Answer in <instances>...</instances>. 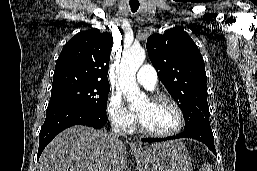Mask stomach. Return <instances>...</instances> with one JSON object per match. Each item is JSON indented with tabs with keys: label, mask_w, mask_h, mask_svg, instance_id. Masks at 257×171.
I'll return each mask as SVG.
<instances>
[{
	"label": "stomach",
	"mask_w": 257,
	"mask_h": 171,
	"mask_svg": "<svg viewBox=\"0 0 257 171\" xmlns=\"http://www.w3.org/2000/svg\"><path fill=\"white\" fill-rule=\"evenodd\" d=\"M133 153L139 171H193L188 150L179 140L154 143Z\"/></svg>",
	"instance_id": "0dacf381"
}]
</instances>
